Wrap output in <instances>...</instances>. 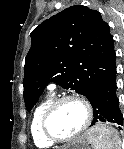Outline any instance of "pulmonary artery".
Returning a JSON list of instances; mask_svg holds the SVG:
<instances>
[{
    "mask_svg": "<svg viewBox=\"0 0 124 149\" xmlns=\"http://www.w3.org/2000/svg\"><path fill=\"white\" fill-rule=\"evenodd\" d=\"M48 88H49L50 90H54V89H55V85H54V84H50V85L48 86Z\"/></svg>",
    "mask_w": 124,
    "mask_h": 149,
    "instance_id": "pulmonary-artery-1",
    "label": "pulmonary artery"
}]
</instances>
